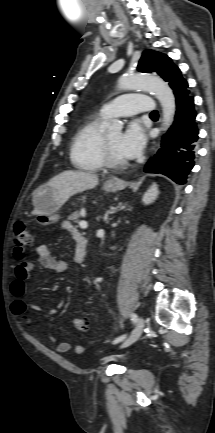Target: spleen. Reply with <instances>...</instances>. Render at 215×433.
Instances as JSON below:
<instances>
[{
    "mask_svg": "<svg viewBox=\"0 0 215 433\" xmlns=\"http://www.w3.org/2000/svg\"><path fill=\"white\" fill-rule=\"evenodd\" d=\"M159 194L157 185L154 183L150 189L145 193L144 197H143V202L145 204H149L151 202H153L157 196Z\"/></svg>",
    "mask_w": 215,
    "mask_h": 433,
    "instance_id": "spleen-1",
    "label": "spleen"
}]
</instances>
